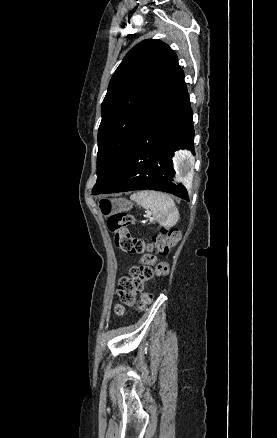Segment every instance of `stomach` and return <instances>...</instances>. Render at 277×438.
Instances as JSON below:
<instances>
[{"label":"stomach","instance_id":"1","mask_svg":"<svg viewBox=\"0 0 277 438\" xmlns=\"http://www.w3.org/2000/svg\"><path fill=\"white\" fill-rule=\"evenodd\" d=\"M98 207L100 213L106 218L130 210L132 203L124 198L103 199L98 203Z\"/></svg>","mask_w":277,"mask_h":438}]
</instances>
